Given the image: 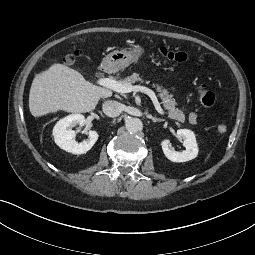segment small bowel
Here are the masks:
<instances>
[{
  "mask_svg": "<svg viewBox=\"0 0 255 255\" xmlns=\"http://www.w3.org/2000/svg\"><path fill=\"white\" fill-rule=\"evenodd\" d=\"M199 120V115L195 112H191L189 114V121L193 124L197 123V121Z\"/></svg>",
  "mask_w": 255,
  "mask_h": 255,
  "instance_id": "1",
  "label": "small bowel"
}]
</instances>
